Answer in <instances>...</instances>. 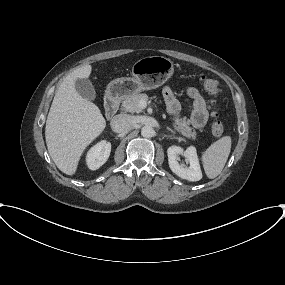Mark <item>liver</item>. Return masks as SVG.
Returning a JSON list of instances; mask_svg holds the SVG:
<instances>
[{
	"instance_id": "6515ba94",
	"label": "liver",
	"mask_w": 285,
	"mask_h": 285,
	"mask_svg": "<svg viewBox=\"0 0 285 285\" xmlns=\"http://www.w3.org/2000/svg\"><path fill=\"white\" fill-rule=\"evenodd\" d=\"M91 71V65H83L64 78L46 120L48 152L56 166L67 175L75 174L82 153L106 126L100 109L75 89V80L87 79Z\"/></svg>"
}]
</instances>
